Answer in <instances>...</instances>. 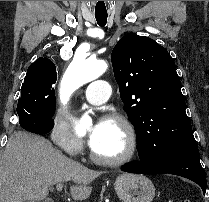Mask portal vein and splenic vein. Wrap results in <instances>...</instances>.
I'll use <instances>...</instances> for the list:
<instances>
[{"label": "portal vein and splenic vein", "mask_w": 209, "mask_h": 202, "mask_svg": "<svg viewBox=\"0 0 209 202\" xmlns=\"http://www.w3.org/2000/svg\"><path fill=\"white\" fill-rule=\"evenodd\" d=\"M56 188H57L58 191H61V190H62V185H61V183H57Z\"/></svg>", "instance_id": "portal-vein-and-splenic-vein-1"}]
</instances>
